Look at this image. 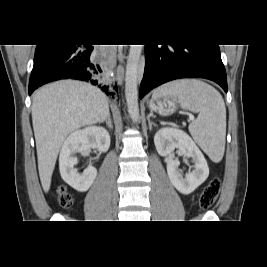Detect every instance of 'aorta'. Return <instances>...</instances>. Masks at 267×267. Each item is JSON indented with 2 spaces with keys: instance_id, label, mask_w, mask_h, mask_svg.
Here are the masks:
<instances>
[{
  "instance_id": "aorta-1",
  "label": "aorta",
  "mask_w": 267,
  "mask_h": 267,
  "mask_svg": "<svg viewBox=\"0 0 267 267\" xmlns=\"http://www.w3.org/2000/svg\"><path fill=\"white\" fill-rule=\"evenodd\" d=\"M142 49L143 45H131L126 64L125 97L128 112L135 123L139 119L137 78Z\"/></svg>"
}]
</instances>
